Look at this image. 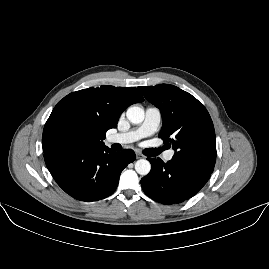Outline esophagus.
I'll use <instances>...</instances> for the list:
<instances>
[{"instance_id": "1", "label": "esophagus", "mask_w": 269, "mask_h": 269, "mask_svg": "<svg viewBox=\"0 0 269 269\" xmlns=\"http://www.w3.org/2000/svg\"><path fill=\"white\" fill-rule=\"evenodd\" d=\"M144 156L141 154V153H136V158L137 159H140V158H143Z\"/></svg>"}]
</instances>
